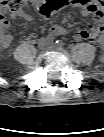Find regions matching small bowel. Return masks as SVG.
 Segmentation results:
<instances>
[{
    "mask_svg": "<svg viewBox=\"0 0 104 137\" xmlns=\"http://www.w3.org/2000/svg\"><path fill=\"white\" fill-rule=\"evenodd\" d=\"M67 4H70L78 8L81 14L92 20V29H79L76 31L75 37L78 40H91L94 42H102L103 27L102 22V7L96 2V0H69ZM19 16L26 21L31 20V16L26 13H20ZM53 33L62 34L65 33V29L62 27H54ZM12 42V35L9 33L4 34L0 38V46L2 49H7Z\"/></svg>",
    "mask_w": 104,
    "mask_h": 137,
    "instance_id": "small-bowel-1",
    "label": "small bowel"
}]
</instances>
